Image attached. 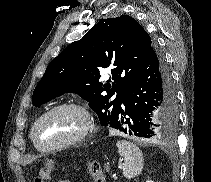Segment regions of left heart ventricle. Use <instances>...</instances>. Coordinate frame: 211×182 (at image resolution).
Instances as JSON below:
<instances>
[{"label":"left heart ventricle","instance_id":"left-heart-ventricle-1","mask_svg":"<svg viewBox=\"0 0 211 182\" xmlns=\"http://www.w3.org/2000/svg\"><path fill=\"white\" fill-rule=\"evenodd\" d=\"M84 117L76 110L61 109L45 117L37 126L39 145L50 146L77 135L84 127Z\"/></svg>","mask_w":211,"mask_h":182}]
</instances>
